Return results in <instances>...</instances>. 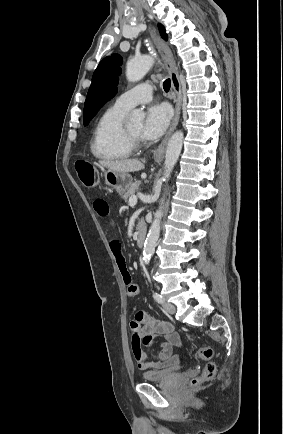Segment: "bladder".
<instances>
[{
  "label": "bladder",
  "instance_id": "bladder-1",
  "mask_svg": "<svg viewBox=\"0 0 283 434\" xmlns=\"http://www.w3.org/2000/svg\"><path fill=\"white\" fill-rule=\"evenodd\" d=\"M178 373V369L176 368H168V369H149L143 372L142 379L144 381H164L175 377Z\"/></svg>",
  "mask_w": 283,
  "mask_h": 434
}]
</instances>
